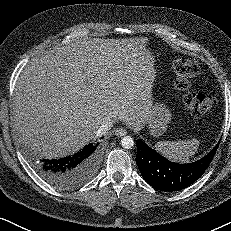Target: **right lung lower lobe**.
Returning <instances> with one entry per match:
<instances>
[{
  "mask_svg": "<svg viewBox=\"0 0 231 231\" xmlns=\"http://www.w3.org/2000/svg\"><path fill=\"white\" fill-rule=\"evenodd\" d=\"M99 143L88 144L72 156L37 161V173L49 184L62 190L75 189L96 173L99 167Z\"/></svg>",
  "mask_w": 231,
  "mask_h": 231,
  "instance_id": "1",
  "label": "right lung lower lobe"
}]
</instances>
